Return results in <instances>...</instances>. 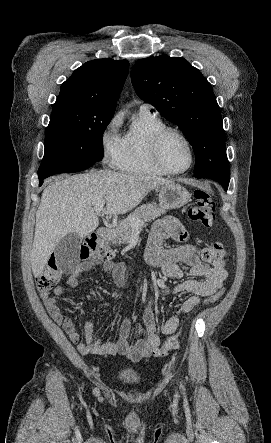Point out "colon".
Masks as SVG:
<instances>
[{
    "label": "colon",
    "instance_id": "1",
    "mask_svg": "<svg viewBox=\"0 0 271 443\" xmlns=\"http://www.w3.org/2000/svg\"><path fill=\"white\" fill-rule=\"evenodd\" d=\"M194 197L196 203L189 209V218L194 222L200 223L205 228H211L215 224V202L213 197L209 192L203 189L196 190ZM80 255L81 258L85 260H99L105 257H110L112 251L104 240L93 237L88 239L81 247ZM202 257L214 268L223 269L225 262L228 259V253L221 243L214 242L203 249ZM61 275L62 271L57 260L54 257L51 258L48 265L36 279L37 289L40 292H49L59 282ZM223 294L224 289L221 288L214 294L210 295L205 300V304L210 305L217 302ZM178 347L179 335H172L161 347L155 349L153 354L155 357L161 358L177 350Z\"/></svg>",
    "mask_w": 271,
    "mask_h": 443
}]
</instances>
